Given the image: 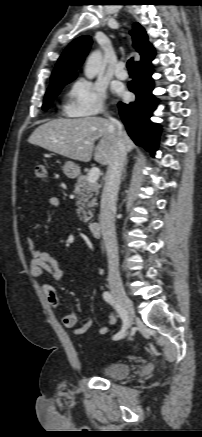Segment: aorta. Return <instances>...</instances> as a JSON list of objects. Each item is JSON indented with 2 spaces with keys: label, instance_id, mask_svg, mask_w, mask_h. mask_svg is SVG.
<instances>
[{
  "label": "aorta",
  "instance_id": "aorta-1",
  "mask_svg": "<svg viewBox=\"0 0 202 437\" xmlns=\"http://www.w3.org/2000/svg\"><path fill=\"white\" fill-rule=\"evenodd\" d=\"M105 64L101 51L91 53L86 61L84 74L86 78L93 79L98 73L104 71Z\"/></svg>",
  "mask_w": 202,
  "mask_h": 437
}]
</instances>
